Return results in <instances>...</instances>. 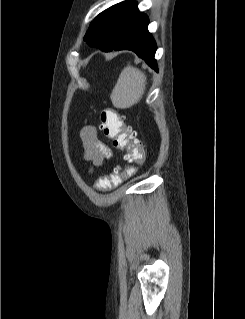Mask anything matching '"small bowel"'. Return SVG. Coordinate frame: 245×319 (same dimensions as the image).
I'll list each match as a JSON object with an SVG mask.
<instances>
[{
    "mask_svg": "<svg viewBox=\"0 0 245 319\" xmlns=\"http://www.w3.org/2000/svg\"><path fill=\"white\" fill-rule=\"evenodd\" d=\"M85 148V157L93 166H100L104 160L112 156L110 148L99 138L94 126H87L81 132Z\"/></svg>",
    "mask_w": 245,
    "mask_h": 319,
    "instance_id": "obj_1",
    "label": "small bowel"
}]
</instances>
